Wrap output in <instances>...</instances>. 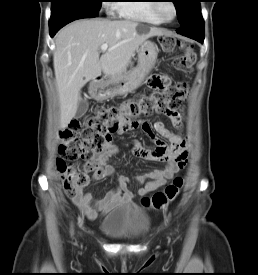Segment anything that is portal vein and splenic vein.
Instances as JSON below:
<instances>
[{"mask_svg": "<svg viewBox=\"0 0 258 275\" xmlns=\"http://www.w3.org/2000/svg\"><path fill=\"white\" fill-rule=\"evenodd\" d=\"M100 49H101V51L104 52V51H106L108 49V45L107 44H103V45H101Z\"/></svg>", "mask_w": 258, "mask_h": 275, "instance_id": "obj_1", "label": "portal vein and splenic vein"}]
</instances>
